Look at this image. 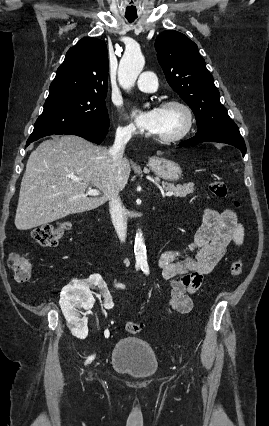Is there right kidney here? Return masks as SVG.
I'll use <instances>...</instances> for the list:
<instances>
[{"mask_svg": "<svg viewBox=\"0 0 269 426\" xmlns=\"http://www.w3.org/2000/svg\"><path fill=\"white\" fill-rule=\"evenodd\" d=\"M95 286L97 290H106V285L100 276H90L82 281H69L67 286H62L60 292L62 294L60 305L62 312L70 326L80 328L83 336L87 335V319L79 318L76 308L89 309L93 306L94 297L90 291V287ZM100 308L102 311H112L114 308L113 300L110 295H105L101 301Z\"/></svg>", "mask_w": 269, "mask_h": 426, "instance_id": "right-kidney-1", "label": "right kidney"}]
</instances>
